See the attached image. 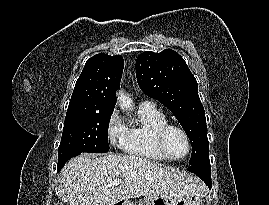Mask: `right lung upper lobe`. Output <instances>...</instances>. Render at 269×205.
Listing matches in <instances>:
<instances>
[{
  "instance_id": "obj_1",
  "label": "right lung upper lobe",
  "mask_w": 269,
  "mask_h": 205,
  "mask_svg": "<svg viewBox=\"0 0 269 205\" xmlns=\"http://www.w3.org/2000/svg\"><path fill=\"white\" fill-rule=\"evenodd\" d=\"M124 61L121 55L97 54L85 64L68 108L113 111Z\"/></svg>"
}]
</instances>
